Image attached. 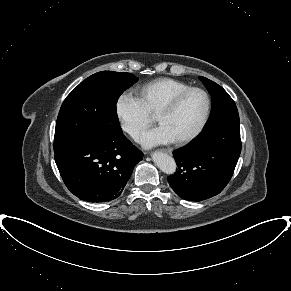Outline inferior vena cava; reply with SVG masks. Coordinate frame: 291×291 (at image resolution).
Listing matches in <instances>:
<instances>
[{
    "instance_id": "obj_1",
    "label": "inferior vena cava",
    "mask_w": 291,
    "mask_h": 291,
    "mask_svg": "<svg viewBox=\"0 0 291 291\" xmlns=\"http://www.w3.org/2000/svg\"><path fill=\"white\" fill-rule=\"evenodd\" d=\"M137 133H138L137 130H133V131H132V134H133V135H136Z\"/></svg>"
}]
</instances>
